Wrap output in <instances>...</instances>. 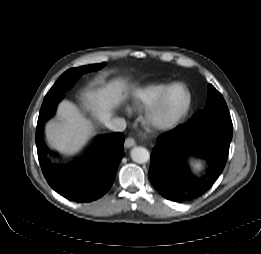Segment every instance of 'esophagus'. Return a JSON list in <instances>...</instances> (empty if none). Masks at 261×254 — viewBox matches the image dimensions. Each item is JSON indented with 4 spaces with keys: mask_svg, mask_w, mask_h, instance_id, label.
Instances as JSON below:
<instances>
[{
    "mask_svg": "<svg viewBox=\"0 0 261 254\" xmlns=\"http://www.w3.org/2000/svg\"><path fill=\"white\" fill-rule=\"evenodd\" d=\"M135 144H136L135 140L133 138L129 137L125 140L124 146H125V148H131V147L135 146Z\"/></svg>",
    "mask_w": 261,
    "mask_h": 254,
    "instance_id": "esophagus-1",
    "label": "esophagus"
}]
</instances>
